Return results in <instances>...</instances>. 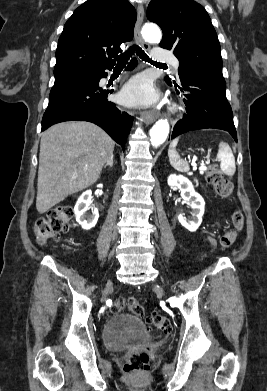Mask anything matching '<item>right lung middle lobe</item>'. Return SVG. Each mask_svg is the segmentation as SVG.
<instances>
[{
	"label": "right lung middle lobe",
	"instance_id": "dd1d6c3e",
	"mask_svg": "<svg viewBox=\"0 0 267 391\" xmlns=\"http://www.w3.org/2000/svg\"><path fill=\"white\" fill-rule=\"evenodd\" d=\"M85 75H86V73H81V74H71V75H64V76L55 77L54 86L80 79V78L84 77Z\"/></svg>",
	"mask_w": 267,
	"mask_h": 391
}]
</instances>
